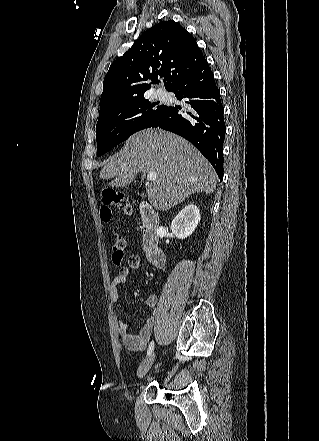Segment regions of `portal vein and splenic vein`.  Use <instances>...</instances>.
Instances as JSON below:
<instances>
[{
  "label": "portal vein and splenic vein",
  "instance_id": "1",
  "mask_svg": "<svg viewBox=\"0 0 319 441\" xmlns=\"http://www.w3.org/2000/svg\"><path fill=\"white\" fill-rule=\"evenodd\" d=\"M157 173L155 171H150L147 173V180L148 181H155L157 179Z\"/></svg>",
  "mask_w": 319,
  "mask_h": 441
}]
</instances>
